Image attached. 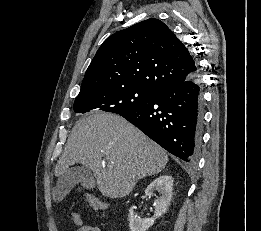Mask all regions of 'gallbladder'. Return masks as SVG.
Returning a JSON list of instances; mask_svg holds the SVG:
<instances>
[{"label": "gallbladder", "mask_w": 261, "mask_h": 231, "mask_svg": "<svg viewBox=\"0 0 261 231\" xmlns=\"http://www.w3.org/2000/svg\"><path fill=\"white\" fill-rule=\"evenodd\" d=\"M92 177L93 175L87 167L75 166L69 168L67 172L59 178L57 187L53 190L54 200H62L76 184L83 180H90Z\"/></svg>", "instance_id": "obj_1"}]
</instances>
